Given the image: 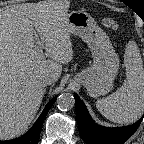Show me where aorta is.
<instances>
[{"label":"aorta","mask_w":144,"mask_h":144,"mask_svg":"<svg viewBox=\"0 0 144 144\" xmlns=\"http://www.w3.org/2000/svg\"><path fill=\"white\" fill-rule=\"evenodd\" d=\"M74 105V98L71 94H61L57 98V108L61 111H69Z\"/></svg>","instance_id":"obj_1"}]
</instances>
